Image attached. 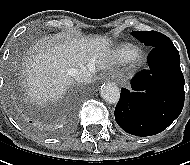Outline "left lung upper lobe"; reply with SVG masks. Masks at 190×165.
Here are the masks:
<instances>
[{"label": "left lung upper lobe", "instance_id": "5c2ea615", "mask_svg": "<svg viewBox=\"0 0 190 165\" xmlns=\"http://www.w3.org/2000/svg\"><path fill=\"white\" fill-rule=\"evenodd\" d=\"M133 36L147 46L155 47L158 44L170 40L167 36L156 31H134Z\"/></svg>", "mask_w": 190, "mask_h": 165}]
</instances>
